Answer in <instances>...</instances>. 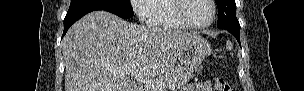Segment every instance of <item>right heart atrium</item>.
<instances>
[{
    "label": "right heart atrium",
    "mask_w": 304,
    "mask_h": 91,
    "mask_svg": "<svg viewBox=\"0 0 304 91\" xmlns=\"http://www.w3.org/2000/svg\"><path fill=\"white\" fill-rule=\"evenodd\" d=\"M155 0H133L132 6L141 22H152L153 15L150 9Z\"/></svg>",
    "instance_id": "1"
}]
</instances>
